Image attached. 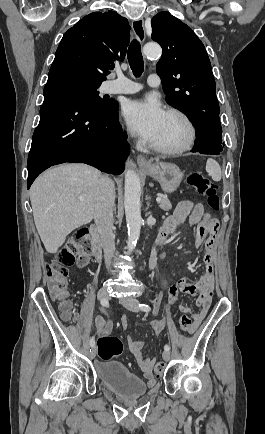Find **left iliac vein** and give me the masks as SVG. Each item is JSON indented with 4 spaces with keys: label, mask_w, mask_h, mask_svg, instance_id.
<instances>
[{
    "label": "left iliac vein",
    "mask_w": 265,
    "mask_h": 434,
    "mask_svg": "<svg viewBox=\"0 0 265 434\" xmlns=\"http://www.w3.org/2000/svg\"><path fill=\"white\" fill-rule=\"evenodd\" d=\"M120 303L130 311H134V312L139 311V308L137 306L138 301L132 297L122 298V299H120ZM170 358H171L170 352L165 350L163 352V359L165 361H169Z\"/></svg>",
    "instance_id": "1"
}]
</instances>
